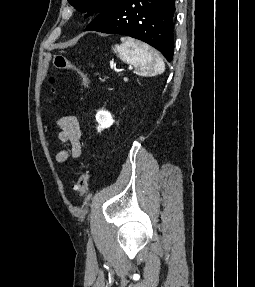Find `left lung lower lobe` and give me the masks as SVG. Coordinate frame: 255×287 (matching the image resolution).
Returning <instances> with one entry per match:
<instances>
[{"label": "left lung lower lobe", "instance_id": "0a47b994", "mask_svg": "<svg viewBox=\"0 0 255 287\" xmlns=\"http://www.w3.org/2000/svg\"><path fill=\"white\" fill-rule=\"evenodd\" d=\"M174 24L175 0H112L85 31L121 34L142 40L171 62Z\"/></svg>", "mask_w": 255, "mask_h": 287}]
</instances>
